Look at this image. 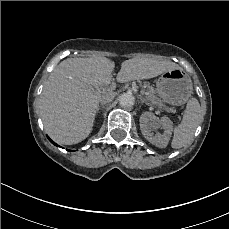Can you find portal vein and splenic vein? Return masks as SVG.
I'll return each instance as SVG.
<instances>
[{
  "label": "portal vein and splenic vein",
  "mask_w": 229,
  "mask_h": 229,
  "mask_svg": "<svg viewBox=\"0 0 229 229\" xmlns=\"http://www.w3.org/2000/svg\"><path fill=\"white\" fill-rule=\"evenodd\" d=\"M114 87H115V85L113 84V85L110 86L108 89H109L110 91H112V90L114 89Z\"/></svg>",
  "instance_id": "1"
}]
</instances>
